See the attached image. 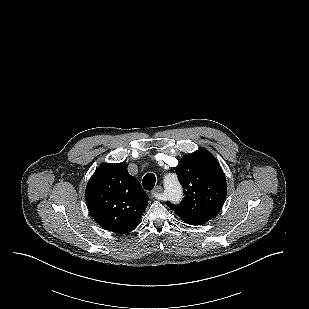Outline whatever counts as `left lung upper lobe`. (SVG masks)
Segmentation results:
<instances>
[{
	"label": "left lung upper lobe",
	"instance_id": "5c2ea615",
	"mask_svg": "<svg viewBox=\"0 0 309 309\" xmlns=\"http://www.w3.org/2000/svg\"><path fill=\"white\" fill-rule=\"evenodd\" d=\"M176 174L184 190L177 206L167 203L184 222L203 224L218 214L227 193L226 178L214 156L199 149L181 158Z\"/></svg>",
	"mask_w": 309,
	"mask_h": 309
}]
</instances>
